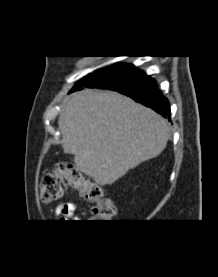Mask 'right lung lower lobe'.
<instances>
[{"instance_id": "right-lung-lower-lobe-1", "label": "right lung lower lobe", "mask_w": 218, "mask_h": 277, "mask_svg": "<svg viewBox=\"0 0 218 277\" xmlns=\"http://www.w3.org/2000/svg\"><path fill=\"white\" fill-rule=\"evenodd\" d=\"M101 82L96 74L84 78L75 89L83 87L101 88ZM124 95H127L141 104L152 108L157 113L170 120V107L168 100L158 90L155 80L150 76H144L139 81L124 88L114 89Z\"/></svg>"}]
</instances>
